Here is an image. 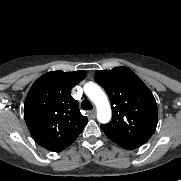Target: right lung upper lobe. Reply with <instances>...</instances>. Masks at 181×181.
<instances>
[{"label":"right lung upper lobe","mask_w":181,"mask_h":181,"mask_svg":"<svg viewBox=\"0 0 181 181\" xmlns=\"http://www.w3.org/2000/svg\"><path fill=\"white\" fill-rule=\"evenodd\" d=\"M86 71H51L38 78L24 103V118L31 136L43 148L60 152L70 146L87 124L71 89Z\"/></svg>","instance_id":"cb5924a9"}]
</instances>
